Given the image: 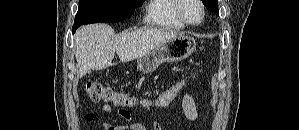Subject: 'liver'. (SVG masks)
I'll return each mask as SVG.
<instances>
[{
    "label": "liver",
    "instance_id": "liver-1",
    "mask_svg": "<svg viewBox=\"0 0 299 130\" xmlns=\"http://www.w3.org/2000/svg\"><path fill=\"white\" fill-rule=\"evenodd\" d=\"M177 35L176 31L143 27L114 37L113 29L107 24L82 26L74 35L79 76L85 75L88 70L112 66L115 53L121 62H129Z\"/></svg>",
    "mask_w": 299,
    "mask_h": 130
}]
</instances>
